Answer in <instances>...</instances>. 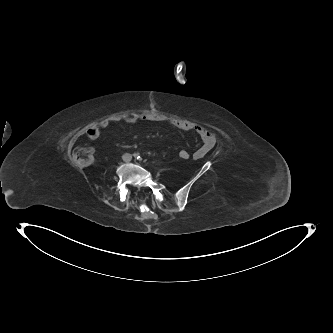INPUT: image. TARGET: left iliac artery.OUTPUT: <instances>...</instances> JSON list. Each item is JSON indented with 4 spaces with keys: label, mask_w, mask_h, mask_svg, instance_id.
<instances>
[{
    "label": "left iliac artery",
    "mask_w": 333,
    "mask_h": 333,
    "mask_svg": "<svg viewBox=\"0 0 333 333\" xmlns=\"http://www.w3.org/2000/svg\"><path fill=\"white\" fill-rule=\"evenodd\" d=\"M134 157L137 158L138 160H141V157L139 156L138 153H135V154H134Z\"/></svg>",
    "instance_id": "left-iliac-artery-1"
}]
</instances>
